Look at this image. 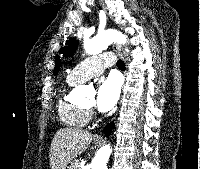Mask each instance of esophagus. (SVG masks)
<instances>
[{"label": "esophagus", "mask_w": 200, "mask_h": 169, "mask_svg": "<svg viewBox=\"0 0 200 169\" xmlns=\"http://www.w3.org/2000/svg\"><path fill=\"white\" fill-rule=\"evenodd\" d=\"M113 49L116 51L118 56L125 61V57H124V54H123L121 48L118 45L114 44Z\"/></svg>", "instance_id": "1"}]
</instances>
